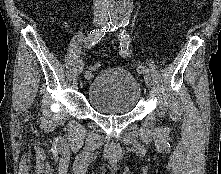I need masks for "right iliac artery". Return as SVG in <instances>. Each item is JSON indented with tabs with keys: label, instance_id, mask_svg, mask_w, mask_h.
<instances>
[{
	"label": "right iliac artery",
	"instance_id": "1",
	"mask_svg": "<svg viewBox=\"0 0 221 174\" xmlns=\"http://www.w3.org/2000/svg\"><path fill=\"white\" fill-rule=\"evenodd\" d=\"M115 21H111L107 24V27H103L101 29H96L92 30L88 36L85 38V45L86 48H91L94 44H96L98 41L104 37L105 33L108 32L109 30H112L114 27ZM85 79L90 80L93 77V73L91 70H86Z\"/></svg>",
	"mask_w": 221,
	"mask_h": 174
}]
</instances>
